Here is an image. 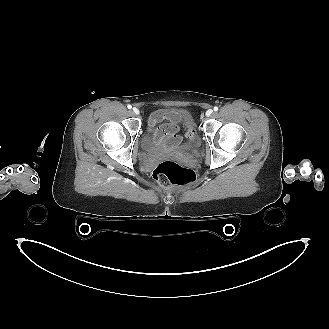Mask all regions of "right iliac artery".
I'll return each mask as SVG.
<instances>
[{
  "instance_id": "1",
  "label": "right iliac artery",
  "mask_w": 329,
  "mask_h": 329,
  "mask_svg": "<svg viewBox=\"0 0 329 329\" xmlns=\"http://www.w3.org/2000/svg\"><path fill=\"white\" fill-rule=\"evenodd\" d=\"M127 108H128V109H131V108H132V106H131V105H128V106H127Z\"/></svg>"
}]
</instances>
